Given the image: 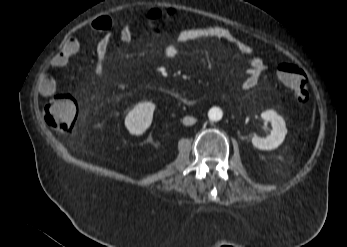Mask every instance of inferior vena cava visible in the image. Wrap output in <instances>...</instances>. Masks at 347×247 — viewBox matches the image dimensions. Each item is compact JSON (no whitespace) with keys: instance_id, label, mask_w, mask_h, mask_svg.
<instances>
[{"instance_id":"inferior-vena-cava-1","label":"inferior vena cava","mask_w":347,"mask_h":247,"mask_svg":"<svg viewBox=\"0 0 347 247\" xmlns=\"http://www.w3.org/2000/svg\"><path fill=\"white\" fill-rule=\"evenodd\" d=\"M196 123V119L194 117L186 116L183 118L184 125H193Z\"/></svg>"}]
</instances>
